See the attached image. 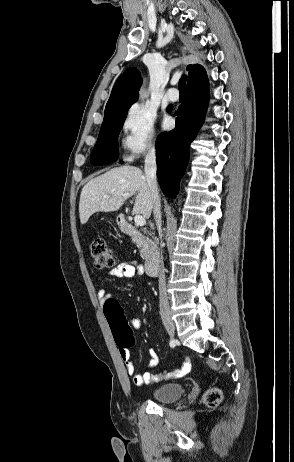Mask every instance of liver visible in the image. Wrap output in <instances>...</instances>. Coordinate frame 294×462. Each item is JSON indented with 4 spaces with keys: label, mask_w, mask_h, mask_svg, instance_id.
I'll list each match as a JSON object with an SVG mask.
<instances>
[{
    "label": "liver",
    "mask_w": 294,
    "mask_h": 462,
    "mask_svg": "<svg viewBox=\"0 0 294 462\" xmlns=\"http://www.w3.org/2000/svg\"><path fill=\"white\" fill-rule=\"evenodd\" d=\"M137 194L133 213L149 218L153 203L146 177L141 169L129 165L113 168L90 180L82 189L79 202L81 224L96 212L119 210L124 202ZM109 195V198H104Z\"/></svg>",
    "instance_id": "obj_1"
}]
</instances>
